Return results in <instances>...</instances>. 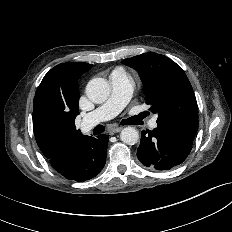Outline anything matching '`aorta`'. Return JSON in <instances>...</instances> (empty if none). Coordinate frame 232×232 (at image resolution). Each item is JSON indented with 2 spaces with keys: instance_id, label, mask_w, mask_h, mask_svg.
Masks as SVG:
<instances>
[{
  "instance_id": "762f6f07",
  "label": "aorta",
  "mask_w": 232,
  "mask_h": 232,
  "mask_svg": "<svg viewBox=\"0 0 232 232\" xmlns=\"http://www.w3.org/2000/svg\"><path fill=\"white\" fill-rule=\"evenodd\" d=\"M110 92V85L104 78H94L86 86L87 97L96 104L105 102ZM120 139L125 144L134 145L139 140V132L134 127H126L121 131Z\"/></svg>"
}]
</instances>
